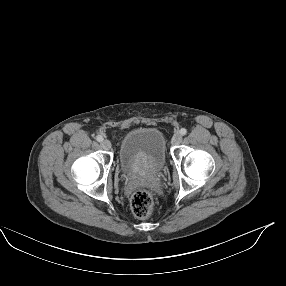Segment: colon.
I'll return each instance as SVG.
<instances>
[{"mask_svg": "<svg viewBox=\"0 0 286 286\" xmlns=\"http://www.w3.org/2000/svg\"><path fill=\"white\" fill-rule=\"evenodd\" d=\"M131 209L138 218H147L151 215L154 202L151 193L145 189L137 190L131 198Z\"/></svg>", "mask_w": 286, "mask_h": 286, "instance_id": "colon-1", "label": "colon"}]
</instances>
